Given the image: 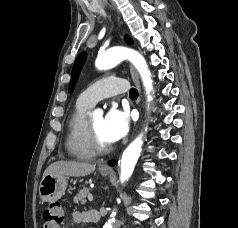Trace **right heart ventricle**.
<instances>
[{"label": "right heart ventricle", "mask_w": 238, "mask_h": 228, "mask_svg": "<svg viewBox=\"0 0 238 228\" xmlns=\"http://www.w3.org/2000/svg\"><path fill=\"white\" fill-rule=\"evenodd\" d=\"M91 106L77 99L67 120L66 149L74 158L89 160L95 156L88 139L86 112Z\"/></svg>", "instance_id": "1"}]
</instances>
